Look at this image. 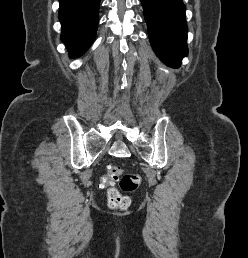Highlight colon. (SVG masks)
<instances>
[{
    "mask_svg": "<svg viewBox=\"0 0 248 258\" xmlns=\"http://www.w3.org/2000/svg\"><path fill=\"white\" fill-rule=\"evenodd\" d=\"M117 181L123 191L134 192L140 185V176L135 173L123 174L122 164H111L106 175L102 177L101 184L102 186H111ZM108 202L109 206L116 210H125L130 204L129 198L115 188L108 190Z\"/></svg>",
    "mask_w": 248,
    "mask_h": 258,
    "instance_id": "1",
    "label": "colon"
}]
</instances>
